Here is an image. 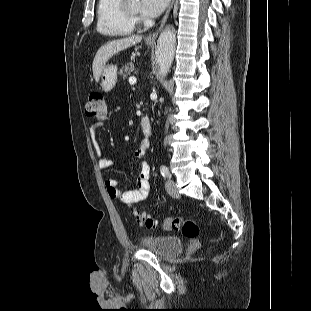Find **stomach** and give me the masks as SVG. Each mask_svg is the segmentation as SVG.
Segmentation results:
<instances>
[{"mask_svg": "<svg viewBox=\"0 0 311 311\" xmlns=\"http://www.w3.org/2000/svg\"><path fill=\"white\" fill-rule=\"evenodd\" d=\"M148 46L152 45L151 42H146ZM100 85L102 89L106 92L112 90L117 82V66L116 65H107L102 70L100 75Z\"/></svg>", "mask_w": 311, "mask_h": 311, "instance_id": "obj_1", "label": "stomach"}]
</instances>
